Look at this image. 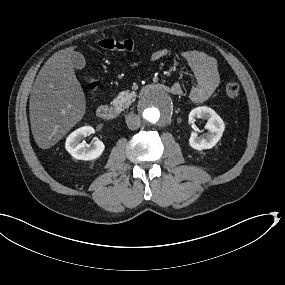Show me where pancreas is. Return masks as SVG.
<instances>
[{"instance_id":"1","label":"pancreas","mask_w":285,"mask_h":285,"mask_svg":"<svg viewBox=\"0 0 285 285\" xmlns=\"http://www.w3.org/2000/svg\"><path fill=\"white\" fill-rule=\"evenodd\" d=\"M138 98L137 93L135 92H119L115 97L111 98L110 103L113 106H116V111H122L124 108H127L131 103L136 102Z\"/></svg>"}]
</instances>
